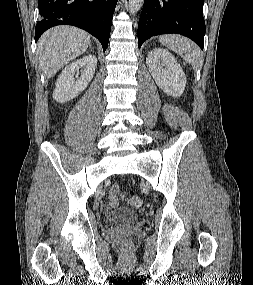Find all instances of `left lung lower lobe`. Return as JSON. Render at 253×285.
I'll return each mask as SVG.
<instances>
[{
  "mask_svg": "<svg viewBox=\"0 0 253 285\" xmlns=\"http://www.w3.org/2000/svg\"><path fill=\"white\" fill-rule=\"evenodd\" d=\"M204 0H144L138 23V47L148 38L177 33L192 39L203 50Z\"/></svg>",
  "mask_w": 253,
  "mask_h": 285,
  "instance_id": "left-lung-lower-lobe-1",
  "label": "left lung lower lobe"
}]
</instances>
